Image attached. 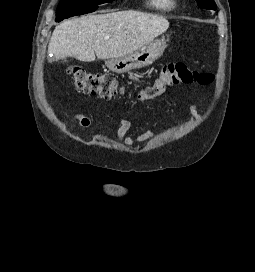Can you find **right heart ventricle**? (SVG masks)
<instances>
[{"mask_svg": "<svg viewBox=\"0 0 255 272\" xmlns=\"http://www.w3.org/2000/svg\"><path fill=\"white\" fill-rule=\"evenodd\" d=\"M146 5L153 11L167 13L176 8V0H146Z\"/></svg>", "mask_w": 255, "mask_h": 272, "instance_id": "right-heart-ventricle-1", "label": "right heart ventricle"}]
</instances>
